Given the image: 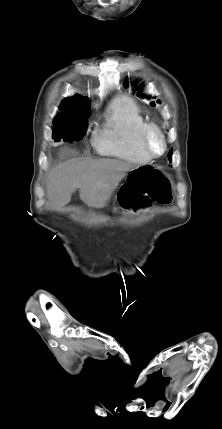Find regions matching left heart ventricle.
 Segmentation results:
<instances>
[{
	"mask_svg": "<svg viewBox=\"0 0 222 429\" xmlns=\"http://www.w3.org/2000/svg\"><path fill=\"white\" fill-rule=\"evenodd\" d=\"M149 145L150 148L155 152V153H160L163 149V144L162 141L160 139V137L155 134L152 133L149 137Z\"/></svg>",
	"mask_w": 222,
	"mask_h": 429,
	"instance_id": "1",
	"label": "left heart ventricle"
}]
</instances>
